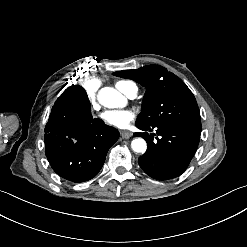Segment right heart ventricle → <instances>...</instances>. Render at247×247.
I'll list each match as a JSON object with an SVG mask.
<instances>
[{
	"label": "right heart ventricle",
	"mask_w": 247,
	"mask_h": 247,
	"mask_svg": "<svg viewBox=\"0 0 247 247\" xmlns=\"http://www.w3.org/2000/svg\"><path fill=\"white\" fill-rule=\"evenodd\" d=\"M118 86L122 91L126 92V87L124 84H119Z\"/></svg>",
	"instance_id": "right-heart-ventricle-1"
}]
</instances>
